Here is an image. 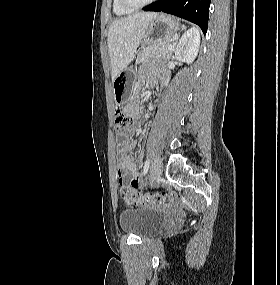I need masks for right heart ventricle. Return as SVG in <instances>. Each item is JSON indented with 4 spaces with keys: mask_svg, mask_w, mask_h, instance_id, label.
Instances as JSON below:
<instances>
[{
    "mask_svg": "<svg viewBox=\"0 0 280 285\" xmlns=\"http://www.w3.org/2000/svg\"><path fill=\"white\" fill-rule=\"evenodd\" d=\"M112 7H113L114 13L117 15H127V14L132 13V10H128V9L124 8L121 5L119 0H113Z\"/></svg>",
    "mask_w": 280,
    "mask_h": 285,
    "instance_id": "obj_1",
    "label": "right heart ventricle"
}]
</instances>
